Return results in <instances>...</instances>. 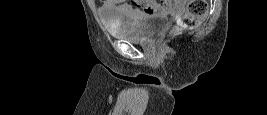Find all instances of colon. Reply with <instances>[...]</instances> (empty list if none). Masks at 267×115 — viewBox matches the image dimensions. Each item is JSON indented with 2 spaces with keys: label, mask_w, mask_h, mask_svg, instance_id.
Masks as SVG:
<instances>
[{
  "label": "colon",
  "mask_w": 267,
  "mask_h": 115,
  "mask_svg": "<svg viewBox=\"0 0 267 115\" xmlns=\"http://www.w3.org/2000/svg\"><path fill=\"white\" fill-rule=\"evenodd\" d=\"M205 9L206 3L203 1H188L186 12L181 19V24L186 27L196 26L198 19L203 14Z\"/></svg>",
  "instance_id": "1"
}]
</instances>
